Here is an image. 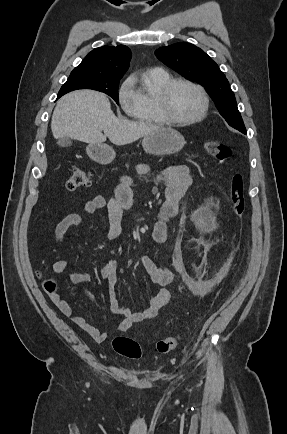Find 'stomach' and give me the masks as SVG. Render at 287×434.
I'll return each mask as SVG.
<instances>
[{"mask_svg":"<svg viewBox=\"0 0 287 434\" xmlns=\"http://www.w3.org/2000/svg\"><path fill=\"white\" fill-rule=\"evenodd\" d=\"M184 137L175 129L161 128L144 136L142 146L146 153L152 155H170L179 152L185 145ZM89 157L97 163H111L116 153L106 144H89L87 149Z\"/></svg>","mask_w":287,"mask_h":434,"instance_id":"1","label":"stomach"}]
</instances>
